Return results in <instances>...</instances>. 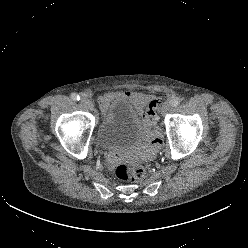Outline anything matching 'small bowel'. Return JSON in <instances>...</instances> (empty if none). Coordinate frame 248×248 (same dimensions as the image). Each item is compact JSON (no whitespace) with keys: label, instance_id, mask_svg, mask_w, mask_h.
Wrapping results in <instances>:
<instances>
[{"label":"small bowel","instance_id":"1","mask_svg":"<svg viewBox=\"0 0 248 248\" xmlns=\"http://www.w3.org/2000/svg\"><path fill=\"white\" fill-rule=\"evenodd\" d=\"M119 97H123L128 101H130L134 105V107L140 112H142L144 108L148 109L151 103L155 100L148 95L137 92H125L122 94L117 92H109L101 96L99 99L101 110L103 112H106L110 107V104ZM152 137H153L152 140L153 145L154 146L158 145L159 144L158 132L153 131ZM114 158H115L114 155L110 156V160H114Z\"/></svg>","mask_w":248,"mask_h":248}]
</instances>
